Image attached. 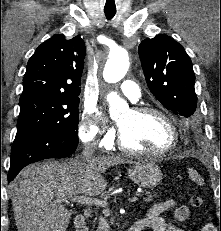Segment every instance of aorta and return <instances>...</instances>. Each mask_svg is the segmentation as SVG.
Instances as JSON below:
<instances>
[{
  "mask_svg": "<svg viewBox=\"0 0 221 231\" xmlns=\"http://www.w3.org/2000/svg\"><path fill=\"white\" fill-rule=\"evenodd\" d=\"M129 68V54L123 48H116L109 53V59L107 60L103 78L108 83H117L120 81ZM107 101L109 103V112L113 116L121 108L127 107L126 102L119 97L116 92H110L107 95Z\"/></svg>",
  "mask_w": 221,
  "mask_h": 231,
  "instance_id": "1",
  "label": "aorta"
}]
</instances>
